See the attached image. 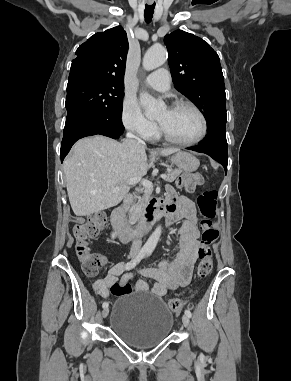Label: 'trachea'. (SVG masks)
<instances>
[{"instance_id": "trachea-1", "label": "trachea", "mask_w": 291, "mask_h": 381, "mask_svg": "<svg viewBox=\"0 0 291 381\" xmlns=\"http://www.w3.org/2000/svg\"><path fill=\"white\" fill-rule=\"evenodd\" d=\"M154 8H155V3L152 4V5H147L146 4V6H145L144 17H145V21L147 23H150L151 20H152L153 13H154Z\"/></svg>"}]
</instances>
